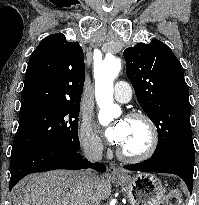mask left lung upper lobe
<instances>
[{
    "label": "left lung upper lobe",
    "instance_id": "obj_1",
    "mask_svg": "<svg viewBox=\"0 0 199 205\" xmlns=\"http://www.w3.org/2000/svg\"><path fill=\"white\" fill-rule=\"evenodd\" d=\"M126 73L137 100L156 125L159 143L152 157L194 149L188 86L181 63L159 40L124 50Z\"/></svg>",
    "mask_w": 199,
    "mask_h": 205
}]
</instances>
